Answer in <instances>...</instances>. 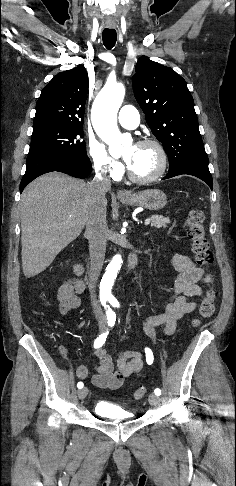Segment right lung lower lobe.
I'll return each instance as SVG.
<instances>
[{
	"mask_svg": "<svg viewBox=\"0 0 236 486\" xmlns=\"http://www.w3.org/2000/svg\"><path fill=\"white\" fill-rule=\"evenodd\" d=\"M52 171L86 178L92 171V165L88 157L50 153L28 155L26 172L20 183V193L36 177Z\"/></svg>",
	"mask_w": 236,
	"mask_h": 486,
	"instance_id": "1",
	"label": "right lung lower lobe"
}]
</instances>
